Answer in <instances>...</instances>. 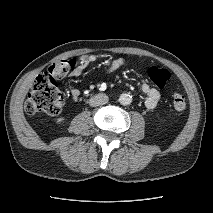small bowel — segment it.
<instances>
[{
  "label": "small bowel",
  "instance_id": "small-bowel-1",
  "mask_svg": "<svg viewBox=\"0 0 213 213\" xmlns=\"http://www.w3.org/2000/svg\"><path fill=\"white\" fill-rule=\"evenodd\" d=\"M97 57L93 54L84 55L79 58V61L75 66L70 70L69 77L75 78L79 77L84 73V71L89 68L93 63H95ZM126 63L125 59L122 57L114 59L106 68V73L111 74L120 69ZM142 92L145 94V107L148 110H153L156 108L160 100V92L150 86L146 82H142L140 86ZM69 94L73 100L77 101L80 96V91L75 87H70L68 89Z\"/></svg>",
  "mask_w": 213,
  "mask_h": 213
}]
</instances>
